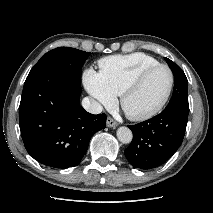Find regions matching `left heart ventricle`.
Returning <instances> with one entry per match:
<instances>
[{
  "instance_id": "1",
  "label": "left heart ventricle",
  "mask_w": 213,
  "mask_h": 213,
  "mask_svg": "<svg viewBox=\"0 0 213 213\" xmlns=\"http://www.w3.org/2000/svg\"><path fill=\"white\" fill-rule=\"evenodd\" d=\"M169 80V73L163 68L148 74L126 98L124 102L125 111L131 114H139L154 107L166 93Z\"/></svg>"
}]
</instances>
